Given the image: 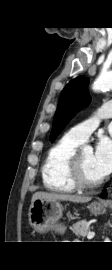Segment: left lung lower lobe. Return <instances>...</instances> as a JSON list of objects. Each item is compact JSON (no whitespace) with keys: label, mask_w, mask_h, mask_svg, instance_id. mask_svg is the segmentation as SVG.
<instances>
[{"label":"left lung lower lobe","mask_w":112,"mask_h":270,"mask_svg":"<svg viewBox=\"0 0 112 270\" xmlns=\"http://www.w3.org/2000/svg\"><path fill=\"white\" fill-rule=\"evenodd\" d=\"M106 196V192L101 194V197H105Z\"/></svg>","instance_id":"left-lung-lower-lobe-1"}]
</instances>
